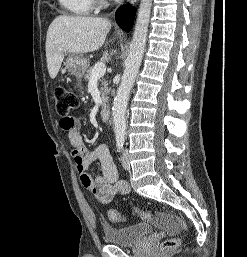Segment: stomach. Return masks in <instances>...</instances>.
<instances>
[{
  "mask_svg": "<svg viewBox=\"0 0 247 257\" xmlns=\"http://www.w3.org/2000/svg\"><path fill=\"white\" fill-rule=\"evenodd\" d=\"M64 64L68 71L77 78H82L89 65L85 57L76 53H69Z\"/></svg>",
  "mask_w": 247,
  "mask_h": 257,
  "instance_id": "0dacf381",
  "label": "stomach"
}]
</instances>
